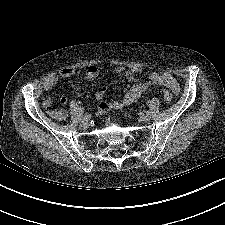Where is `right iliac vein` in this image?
Listing matches in <instances>:
<instances>
[{
	"instance_id": "1",
	"label": "right iliac vein",
	"mask_w": 225,
	"mask_h": 225,
	"mask_svg": "<svg viewBox=\"0 0 225 225\" xmlns=\"http://www.w3.org/2000/svg\"><path fill=\"white\" fill-rule=\"evenodd\" d=\"M80 127H81L82 129H87V128L89 127L88 121H82V122L80 123Z\"/></svg>"
}]
</instances>
